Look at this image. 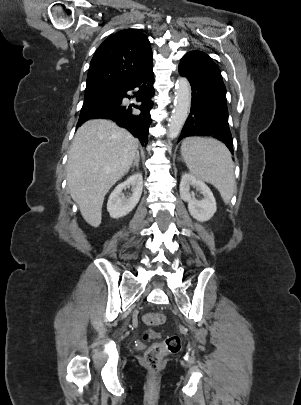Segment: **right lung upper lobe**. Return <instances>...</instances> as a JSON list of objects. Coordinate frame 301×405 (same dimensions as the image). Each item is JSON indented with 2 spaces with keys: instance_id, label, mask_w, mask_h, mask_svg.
Segmentation results:
<instances>
[{
  "instance_id": "right-lung-upper-lobe-1",
  "label": "right lung upper lobe",
  "mask_w": 301,
  "mask_h": 405,
  "mask_svg": "<svg viewBox=\"0 0 301 405\" xmlns=\"http://www.w3.org/2000/svg\"><path fill=\"white\" fill-rule=\"evenodd\" d=\"M152 64L146 35L125 29L110 35L96 50L88 71L86 90L119 91Z\"/></svg>"
}]
</instances>
